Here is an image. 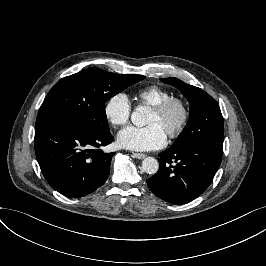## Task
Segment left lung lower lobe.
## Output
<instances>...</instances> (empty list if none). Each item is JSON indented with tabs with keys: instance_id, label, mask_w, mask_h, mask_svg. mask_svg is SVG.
<instances>
[{
	"instance_id": "obj_1",
	"label": "left lung lower lobe",
	"mask_w": 266,
	"mask_h": 266,
	"mask_svg": "<svg viewBox=\"0 0 266 266\" xmlns=\"http://www.w3.org/2000/svg\"><path fill=\"white\" fill-rule=\"evenodd\" d=\"M223 153V143L201 140L159 154V171L147 180L150 190L173 204H185L199 197L211 184ZM173 163V165H172Z\"/></svg>"
}]
</instances>
